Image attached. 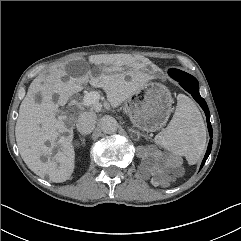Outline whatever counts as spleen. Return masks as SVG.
Returning a JSON list of instances; mask_svg holds the SVG:
<instances>
[{
  "label": "spleen",
  "instance_id": "1",
  "mask_svg": "<svg viewBox=\"0 0 241 241\" xmlns=\"http://www.w3.org/2000/svg\"><path fill=\"white\" fill-rule=\"evenodd\" d=\"M154 141L174 155L185 156L191 165L201 158L206 146V127L198 107L188 96H177L173 118Z\"/></svg>",
  "mask_w": 241,
  "mask_h": 241
}]
</instances>
